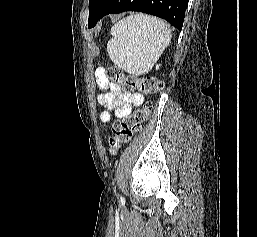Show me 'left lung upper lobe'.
<instances>
[{
	"label": "left lung upper lobe",
	"instance_id": "1",
	"mask_svg": "<svg viewBox=\"0 0 257 237\" xmlns=\"http://www.w3.org/2000/svg\"><path fill=\"white\" fill-rule=\"evenodd\" d=\"M107 1L108 0H90L88 22L97 16Z\"/></svg>",
	"mask_w": 257,
	"mask_h": 237
}]
</instances>
